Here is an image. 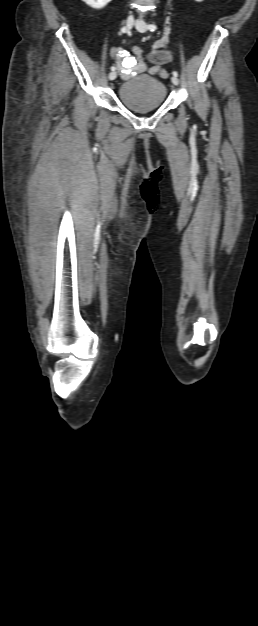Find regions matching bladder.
<instances>
[{
	"label": "bladder",
	"mask_w": 258,
	"mask_h": 626,
	"mask_svg": "<svg viewBox=\"0 0 258 626\" xmlns=\"http://www.w3.org/2000/svg\"><path fill=\"white\" fill-rule=\"evenodd\" d=\"M118 95L126 108L144 113L153 111L164 104L167 88L156 77L139 75L124 81L119 87Z\"/></svg>",
	"instance_id": "1"
}]
</instances>
